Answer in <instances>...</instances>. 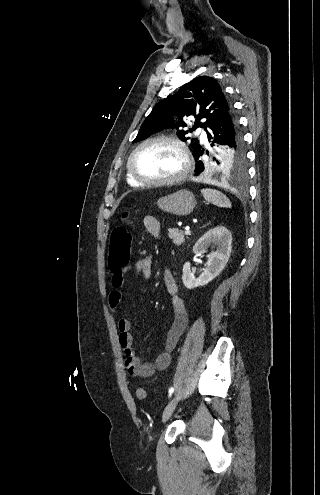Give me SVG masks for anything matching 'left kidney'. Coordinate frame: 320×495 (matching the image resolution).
Masks as SVG:
<instances>
[{"label": "left kidney", "instance_id": "left-kidney-1", "mask_svg": "<svg viewBox=\"0 0 320 495\" xmlns=\"http://www.w3.org/2000/svg\"><path fill=\"white\" fill-rule=\"evenodd\" d=\"M232 236L225 227H215L205 233L193 247L194 254H204L209 247L214 248L207 257V263L202 274L196 278L191 271V264L183 266L182 280L188 289L204 286L216 278L225 268L232 250Z\"/></svg>", "mask_w": 320, "mask_h": 495}]
</instances>
